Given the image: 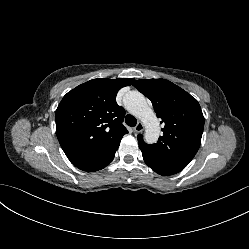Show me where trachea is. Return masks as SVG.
<instances>
[{"instance_id": "trachea-1", "label": "trachea", "mask_w": 249, "mask_h": 249, "mask_svg": "<svg viewBox=\"0 0 249 249\" xmlns=\"http://www.w3.org/2000/svg\"><path fill=\"white\" fill-rule=\"evenodd\" d=\"M125 122L128 126L134 127L137 124V119L134 116L128 114L125 117Z\"/></svg>"}]
</instances>
